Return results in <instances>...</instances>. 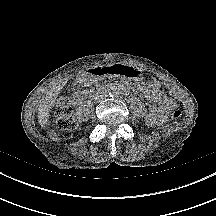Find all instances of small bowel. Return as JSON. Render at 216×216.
I'll return each mask as SVG.
<instances>
[{
    "mask_svg": "<svg viewBox=\"0 0 216 216\" xmlns=\"http://www.w3.org/2000/svg\"><path fill=\"white\" fill-rule=\"evenodd\" d=\"M135 87L149 100L156 103V105L149 111L146 119L147 124L150 126H158L163 124L169 113L176 107L174 99L160 90V83L157 80L140 82Z\"/></svg>",
    "mask_w": 216,
    "mask_h": 216,
    "instance_id": "1",
    "label": "small bowel"
}]
</instances>
